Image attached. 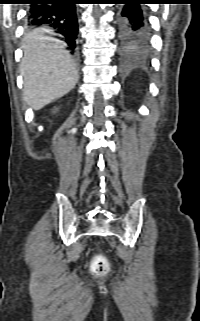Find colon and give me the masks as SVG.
I'll return each mask as SVG.
<instances>
[{
  "label": "colon",
  "instance_id": "obj_1",
  "mask_svg": "<svg viewBox=\"0 0 200 321\" xmlns=\"http://www.w3.org/2000/svg\"><path fill=\"white\" fill-rule=\"evenodd\" d=\"M109 270V265L103 257H99L94 262V271L95 273L102 275L107 273Z\"/></svg>",
  "mask_w": 200,
  "mask_h": 321
}]
</instances>
